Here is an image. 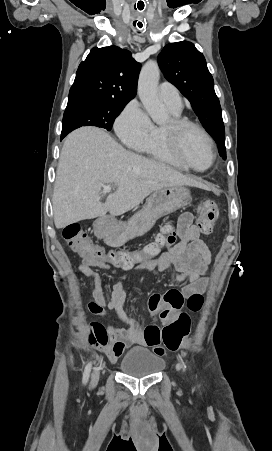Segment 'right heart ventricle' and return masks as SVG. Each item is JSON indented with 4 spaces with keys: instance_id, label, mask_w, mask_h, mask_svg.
I'll list each match as a JSON object with an SVG mask.
<instances>
[{
    "instance_id": "obj_1",
    "label": "right heart ventricle",
    "mask_w": 272,
    "mask_h": 451,
    "mask_svg": "<svg viewBox=\"0 0 272 451\" xmlns=\"http://www.w3.org/2000/svg\"><path fill=\"white\" fill-rule=\"evenodd\" d=\"M161 101L175 114L179 112L174 110L168 103L160 97ZM165 126H154L149 138L142 144L134 146L137 150L142 151L156 159L162 161H174V152L172 144L163 140V130Z\"/></svg>"
}]
</instances>
